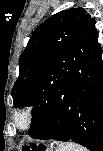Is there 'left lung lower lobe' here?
I'll return each instance as SVG.
<instances>
[{"mask_svg": "<svg viewBox=\"0 0 103 151\" xmlns=\"http://www.w3.org/2000/svg\"><path fill=\"white\" fill-rule=\"evenodd\" d=\"M55 69V80L40 75L33 88L31 136L103 151V61L95 26L57 59Z\"/></svg>", "mask_w": 103, "mask_h": 151, "instance_id": "0a47b994", "label": "left lung lower lobe"}]
</instances>
